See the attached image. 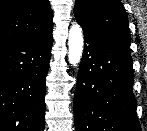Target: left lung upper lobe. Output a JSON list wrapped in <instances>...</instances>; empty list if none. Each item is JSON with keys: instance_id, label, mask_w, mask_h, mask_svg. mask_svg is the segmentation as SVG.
<instances>
[{"instance_id": "obj_1", "label": "left lung upper lobe", "mask_w": 147, "mask_h": 131, "mask_svg": "<svg viewBox=\"0 0 147 131\" xmlns=\"http://www.w3.org/2000/svg\"><path fill=\"white\" fill-rule=\"evenodd\" d=\"M74 15L85 33L130 51L128 17L120 0H76Z\"/></svg>"}]
</instances>
